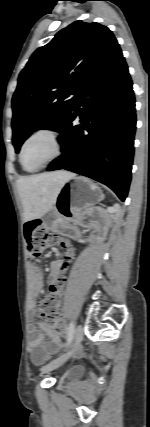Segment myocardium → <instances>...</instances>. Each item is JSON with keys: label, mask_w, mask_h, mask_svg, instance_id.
Returning a JSON list of instances; mask_svg holds the SVG:
<instances>
[{"label": "myocardium", "mask_w": 150, "mask_h": 427, "mask_svg": "<svg viewBox=\"0 0 150 427\" xmlns=\"http://www.w3.org/2000/svg\"><path fill=\"white\" fill-rule=\"evenodd\" d=\"M41 135L48 136L52 140V142L54 144V149H55L54 154L50 158H48L47 160H45L42 163H40L39 165H37L35 168L28 169L25 167V165L23 163L24 150H25L27 144L32 139H34L37 136H41ZM62 153H63V140H62L61 133L58 130L53 129V128L42 127V128H38V129H35L34 131H32L23 141L21 148H20V152H19V163L25 171L36 172V171L42 169L43 167H45L46 165H48L49 163L53 162L57 158H59Z\"/></svg>", "instance_id": "obj_1"}]
</instances>
